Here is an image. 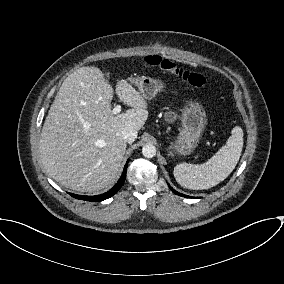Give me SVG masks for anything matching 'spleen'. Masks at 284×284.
Segmentation results:
<instances>
[{
	"mask_svg": "<svg viewBox=\"0 0 284 284\" xmlns=\"http://www.w3.org/2000/svg\"><path fill=\"white\" fill-rule=\"evenodd\" d=\"M231 136L207 162L194 165L181 163L174 167V177L183 187L203 190L211 188L226 179L235 169L242 152L243 130L236 126Z\"/></svg>",
	"mask_w": 284,
	"mask_h": 284,
	"instance_id": "spleen-1",
	"label": "spleen"
}]
</instances>
